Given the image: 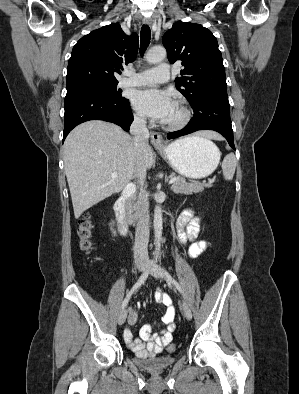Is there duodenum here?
Segmentation results:
<instances>
[{
	"instance_id": "obj_1",
	"label": "duodenum",
	"mask_w": 299,
	"mask_h": 394,
	"mask_svg": "<svg viewBox=\"0 0 299 394\" xmlns=\"http://www.w3.org/2000/svg\"><path fill=\"white\" fill-rule=\"evenodd\" d=\"M135 191V184H128L114 205L118 215L119 229L122 234H126L130 227V217L127 212V204Z\"/></svg>"
}]
</instances>
